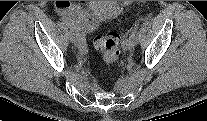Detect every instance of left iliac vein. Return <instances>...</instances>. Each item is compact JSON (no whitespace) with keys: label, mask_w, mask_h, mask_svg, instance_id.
<instances>
[{"label":"left iliac vein","mask_w":207,"mask_h":121,"mask_svg":"<svg viewBox=\"0 0 207 121\" xmlns=\"http://www.w3.org/2000/svg\"><path fill=\"white\" fill-rule=\"evenodd\" d=\"M137 36L135 38H129L127 39L125 42H124V47L125 49L127 50H130L132 48H134V46L136 45L137 43Z\"/></svg>","instance_id":"4c4485c4"}]
</instances>
